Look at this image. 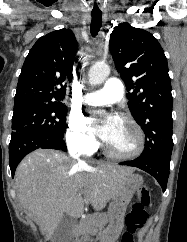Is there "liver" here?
<instances>
[{
	"mask_svg": "<svg viewBox=\"0 0 187 242\" xmlns=\"http://www.w3.org/2000/svg\"><path fill=\"white\" fill-rule=\"evenodd\" d=\"M131 167L76 164L64 153L38 149L27 155L15 173L17 197L50 240L64 215L79 218L85 203L95 211L126 186Z\"/></svg>",
	"mask_w": 187,
	"mask_h": 242,
	"instance_id": "obj_1",
	"label": "liver"
}]
</instances>
